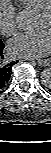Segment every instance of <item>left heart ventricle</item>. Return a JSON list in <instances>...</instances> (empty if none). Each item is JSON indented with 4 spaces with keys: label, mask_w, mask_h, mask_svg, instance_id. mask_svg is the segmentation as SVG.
Segmentation results:
<instances>
[{
    "label": "left heart ventricle",
    "mask_w": 51,
    "mask_h": 153,
    "mask_svg": "<svg viewBox=\"0 0 51 153\" xmlns=\"http://www.w3.org/2000/svg\"><path fill=\"white\" fill-rule=\"evenodd\" d=\"M36 29L51 31V18L40 14L37 18Z\"/></svg>",
    "instance_id": "left-heart-ventricle-1"
}]
</instances>
